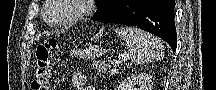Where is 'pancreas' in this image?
Masks as SVG:
<instances>
[{
    "mask_svg": "<svg viewBox=\"0 0 216 90\" xmlns=\"http://www.w3.org/2000/svg\"><path fill=\"white\" fill-rule=\"evenodd\" d=\"M96 72L99 74H105V72H110V67L107 64H101V62H94Z\"/></svg>",
    "mask_w": 216,
    "mask_h": 90,
    "instance_id": "obj_1",
    "label": "pancreas"
}]
</instances>
